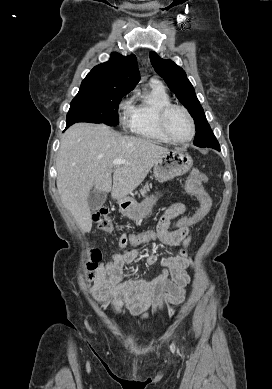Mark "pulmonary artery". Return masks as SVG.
Returning <instances> with one entry per match:
<instances>
[{"label":"pulmonary artery","instance_id":"1","mask_svg":"<svg viewBox=\"0 0 272 389\" xmlns=\"http://www.w3.org/2000/svg\"><path fill=\"white\" fill-rule=\"evenodd\" d=\"M152 83H158V84H160L159 82H157V81H155V80H153Z\"/></svg>","mask_w":272,"mask_h":389}]
</instances>
